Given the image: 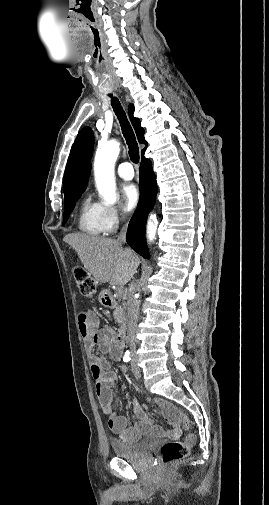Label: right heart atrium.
<instances>
[{
  "label": "right heart atrium",
  "mask_w": 269,
  "mask_h": 505,
  "mask_svg": "<svg viewBox=\"0 0 269 505\" xmlns=\"http://www.w3.org/2000/svg\"><path fill=\"white\" fill-rule=\"evenodd\" d=\"M102 218L106 231L112 232L127 218V214L116 206L102 205Z\"/></svg>",
  "instance_id": "right-heart-atrium-1"
}]
</instances>
